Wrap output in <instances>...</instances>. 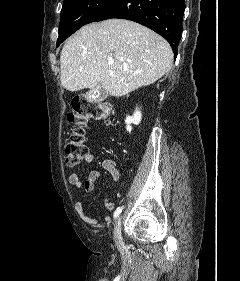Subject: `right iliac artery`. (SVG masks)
I'll list each match as a JSON object with an SVG mask.
<instances>
[{
    "label": "right iliac artery",
    "mask_w": 240,
    "mask_h": 281,
    "mask_svg": "<svg viewBox=\"0 0 240 281\" xmlns=\"http://www.w3.org/2000/svg\"><path fill=\"white\" fill-rule=\"evenodd\" d=\"M123 207H118L114 212V218H117L119 214L122 212Z\"/></svg>",
    "instance_id": "right-iliac-artery-1"
}]
</instances>
